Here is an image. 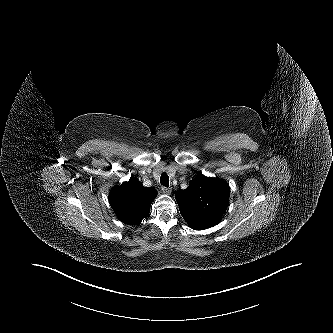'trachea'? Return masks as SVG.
Returning a JSON list of instances; mask_svg holds the SVG:
<instances>
[{"label": "trachea", "mask_w": 333, "mask_h": 333, "mask_svg": "<svg viewBox=\"0 0 333 333\" xmlns=\"http://www.w3.org/2000/svg\"><path fill=\"white\" fill-rule=\"evenodd\" d=\"M160 183L161 185L165 187H169V177L166 173H163L160 177Z\"/></svg>", "instance_id": "3493384b"}]
</instances>
